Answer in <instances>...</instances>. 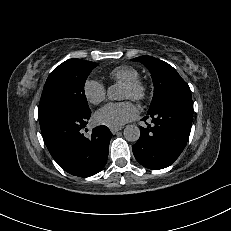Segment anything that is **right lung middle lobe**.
<instances>
[{"label":"right lung middle lobe","instance_id":"right-lung-middle-lobe-1","mask_svg":"<svg viewBox=\"0 0 231 231\" xmlns=\"http://www.w3.org/2000/svg\"><path fill=\"white\" fill-rule=\"evenodd\" d=\"M98 64L81 59H69L56 67L44 85L38 107L42 124L63 113H88L84 84Z\"/></svg>","mask_w":231,"mask_h":231}]
</instances>
